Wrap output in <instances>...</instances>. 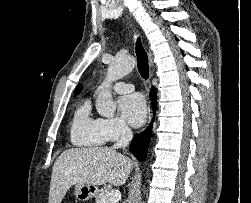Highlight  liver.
I'll return each mask as SVG.
<instances>
[{
    "label": "liver",
    "instance_id": "liver-1",
    "mask_svg": "<svg viewBox=\"0 0 251 203\" xmlns=\"http://www.w3.org/2000/svg\"><path fill=\"white\" fill-rule=\"evenodd\" d=\"M132 169L129 158L113 147L72 148L56 159L52 168L49 203H61L75 184L123 185Z\"/></svg>",
    "mask_w": 251,
    "mask_h": 203
}]
</instances>
